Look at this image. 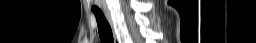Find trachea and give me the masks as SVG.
<instances>
[{"instance_id": "3493384b", "label": "trachea", "mask_w": 256, "mask_h": 43, "mask_svg": "<svg viewBox=\"0 0 256 43\" xmlns=\"http://www.w3.org/2000/svg\"><path fill=\"white\" fill-rule=\"evenodd\" d=\"M92 11L96 17L101 43H114L112 29L102 11L99 9H92Z\"/></svg>"}]
</instances>
